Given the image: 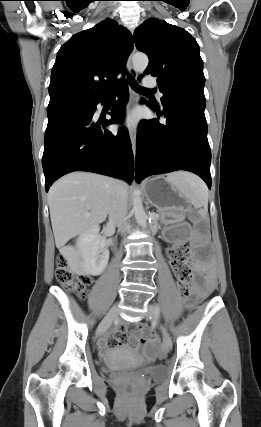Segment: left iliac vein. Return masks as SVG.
I'll list each match as a JSON object with an SVG mask.
<instances>
[{
  "label": "left iliac vein",
  "instance_id": "obj_1",
  "mask_svg": "<svg viewBox=\"0 0 261 427\" xmlns=\"http://www.w3.org/2000/svg\"><path fill=\"white\" fill-rule=\"evenodd\" d=\"M146 318L154 324H157V325L159 324V320H158L157 314L155 312V307L151 304H149L147 306ZM159 328H160L162 336H163V344H164L165 349L171 350L172 349V340H171L169 333L167 332V330L162 325H159Z\"/></svg>",
  "mask_w": 261,
  "mask_h": 427
}]
</instances>
